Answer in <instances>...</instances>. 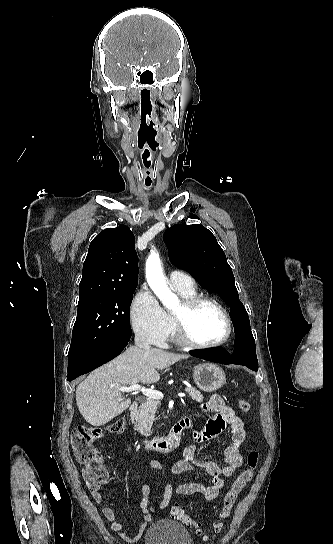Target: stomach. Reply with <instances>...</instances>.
<instances>
[{"instance_id":"1","label":"stomach","mask_w":333,"mask_h":544,"mask_svg":"<svg viewBox=\"0 0 333 544\" xmlns=\"http://www.w3.org/2000/svg\"><path fill=\"white\" fill-rule=\"evenodd\" d=\"M193 379L195 384L205 392H214L226 382L223 369L213 363H203L193 368Z\"/></svg>"}]
</instances>
